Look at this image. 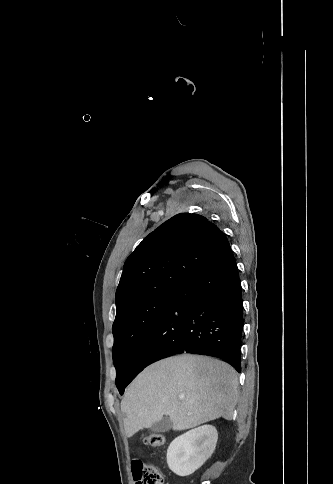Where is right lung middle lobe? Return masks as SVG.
<instances>
[{
  "instance_id": "right-lung-middle-lobe-1",
  "label": "right lung middle lobe",
  "mask_w": 333,
  "mask_h": 484,
  "mask_svg": "<svg viewBox=\"0 0 333 484\" xmlns=\"http://www.w3.org/2000/svg\"><path fill=\"white\" fill-rule=\"evenodd\" d=\"M177 294V290L162 292L125 312L113 323V362L116 386L120 394L127 386L136 353L153 325Z\"/></svg>"
}]
</instances>
